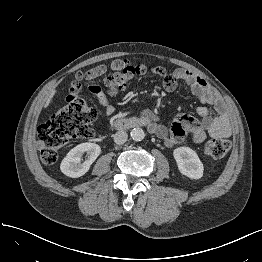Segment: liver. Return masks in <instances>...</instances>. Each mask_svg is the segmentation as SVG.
<instances>
[{
  "label": "liver",
  "instance_id": "obj_1",
  "mask_svg": "<svg viewBox=\"0 0 262 262\" xmlns=\"http://www.w3.org/2000/svg\"><path fill=\"white\" fill-rule=\"evenodd\" d=\"M55 93H56V90H53V91L51 92V94H50L49 98L47 99L46 104H45V106H44L45 108L50 104V102H51L53 96L55 95Z\"/></svg>",
  "mask_w": 262,
  "mask_h": 262
}]
</instances>
